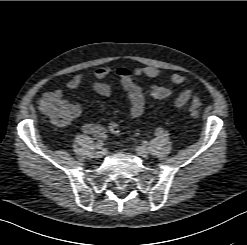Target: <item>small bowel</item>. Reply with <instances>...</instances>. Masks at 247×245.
I'll return each instance as SVG.
<instances>
[{"instance_id":"small-bowel-1","label":"small bowel","mask_w":247,"mask_h":245,"mask_svg":"<svg viewBox=\"0 0 247 245\" xmlns=\"http://www.w3.org/2000/svg\"><path fill=\"white\" fill-rule=\"evenodd\" d=\"M111 74H115L120 79L121 88L130 102V117L132 119L140 118L145 111V97L143 88L137 83V78L142 76L148 78L161 77L163 75V71L157 67L143 66L131 70L123 66H101L85 72L77 73L66 82V86L69 89H76L83 82L88 81L95 93L103 97H108L112 94L114 86L110 82H105L104 79ZM165 80L173 84L184 86L183 90L174 100V104L177 108L184 107L190 100L193 92V86L190 79L186 75L173 73L165 78ZM50 96H56L64 99L61 90L48 92L45 93L40 99V106H42L44 101ZM68 103L70 108V117L68 122H70L81 115L82 108L78 103L70 101H68ZM82 132L101 139H106L107 137L106 129L95 123L84 124L82 126Z\"/></svg>"}]
</instances>
